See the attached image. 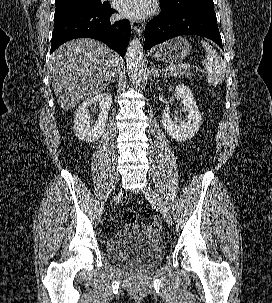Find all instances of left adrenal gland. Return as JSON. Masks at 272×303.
Returning <instances> with one entry per match:
<instances>
[{
	"label": "left adrenal gland",
	"mask_w": 272,
	"mask_h": 303,
	"mask_svg": "<svg viewBox=\"0 0 272 303\" xmlns=\"http://www.w3.org/2000/svg\"><path fill=\"white\" fill-rule=\"evenodd\" d=\"M151 72H152V76L155 78V77H165L166 76V74H163L162 73V75H160L159 74V70L158 69H156V68H153L152 70H151Z\"/></svg>",
	"instance_id": "obj_1"
}]
</instances>
